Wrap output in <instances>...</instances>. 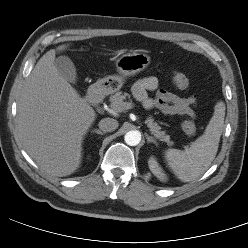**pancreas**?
<instances>
[{"label":"pancreas","mask_w":248,"mask_h":248,"mask_svg":"<svg viewBox=\"0 0 248 248\" xmlns=\"http://www.w3.org/2000/svg\"><path fill=\"white\" fill-rule=\"evenodd\" d=\"M129 96L127 93L117 92L110 97L111 107L113 110L117 112L123 111L124 108V100ZM147 126L151 133L159 140L165 141L168 144H172L170 142V136L165 133V131H161V127L157 122H154L152 116L148 117L146 120Z\"/></svg>","instance_id":"obj_1"}]
</instances>
